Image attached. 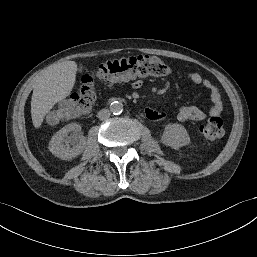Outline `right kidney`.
Wrapping results in <instances>:
<instances>
[{
	"label": "right kidney",
	"mask_w": 257,
	"mask_h": 257,
	"mask_svg": "<svg viewBox=\"0 0 257 257\" xmlns=\"http://www.w3.org/2000/svg\"><path fill=\"white\" fill-rule=\"evenodd\" d=\"M80 131V125L76 123H70L60 129L51 138L49 143L50 152L63 160H70L81 154L85 147V140ZM71 132L73 134L68 136ZM69 144L74 146L70 148Z\"/></svg>",
	"instance_id": "ca27d5eb"
}]
</instances>
